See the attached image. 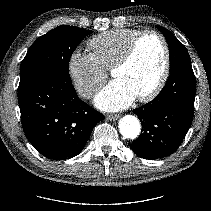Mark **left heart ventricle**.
I'll return each instance as SVG.
<instances>
[{
  "label": "left heart ventricle",
  "instance_id": "obj_1",
  "mask_svg": "<svg viewBox=\"0 0 211 211\" xmlns=\"http://www.w3.org/2000/svg\"><path fill=\"white\" fill-rule=\"evenodd\" d=\"M164 52L161 42L154 36L144 37L132 61L112 76L128 85L136 94L149 92L157 83L163 68Z\"/></svg>",
  "mask_w": 211,
  "mask_h": 211
}]
</instances>
